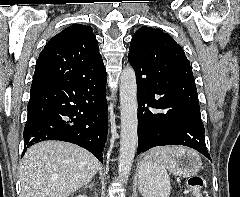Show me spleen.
<instances>
[{
	"mask_svg": "<svg viewBox=\"0 0 240 197\" xmlns=\"http://www.w3.org/2000/svg\"><path fill=\"white\" fill-rule=\"evenodd\" d=\"M192 151L178 146H160L150 150L152 159L140 168V178L143 181L140 190L144 197H169L171 185L166 165L174 155Z\"/></svg>",
	"mask_w": 240,
	"mask_h": 197,
	"instance_id": "1",
	"label": "spleen"
}]
</instances>
